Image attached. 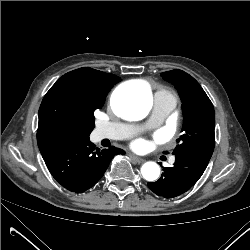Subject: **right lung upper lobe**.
Listing matches in <instances>:
<instances>
[{
	"label": "right lung upper lobe",
	"instance_id": "1",
	"mask_svg": "<svg viewBox=\"0 0 250 250\" xmlns=\"http://www.w3.org/2000/svg\"><path fill=\"white\" fill-rule=\"evenodd\" d=\"M119 81L113 74L89 67L59 78L46 93L39 109L38 146L85 136L88 108L105 101L112 86Z\"/></svg>",
	"mask_w": 250,
	"mask_h": 250
}]
</instances>
